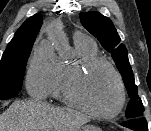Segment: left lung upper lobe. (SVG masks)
I'll list each match as a JSON object with an SVG mask.
<instances>
[{
    "label": "left lung upper lobe",
    "instance_id": "1",
    "mask_svg": "<svg viewBox=\"0 0 151 131\" xmlns=\"http://www.w3.org/2000/svg\"><path fill=\"white\" fill-rule=\"evenodd\" d=\"M82 25L94 35L103 48L112 54V58L122 75L125 87L130 96L126 110L127 118H137L144 112L141 98L138 96V86L135 85L132 68L128 60L127 49L120 43V37L112 21L99 12L80 13Z\"/></svg>",
    "mask_w": 151,
    "mask_h": 131
}]
</instances>
